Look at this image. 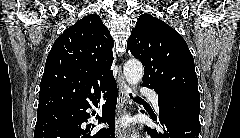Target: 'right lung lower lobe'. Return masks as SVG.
<instances>
[{
  "mask_svg": "<svg viewBox=\"0 0 240 138\" xmlns=\"http://www.w3.org/2000/svg\"><path fill=\"white\" fill-rule=\"evenodd\" d=\"M106 103L102 107V116H97L98 122H107L108 129L90 132V126L82 127L90 118L86 109L97 105L101 92L87 100L62 106L47 112L37 114L34 138H115L114 113L117 103V84L112 80L103 90ZM95 125H92L93 129Z\"/></svg>",
  "mask_w": 240,
  "mask_h": 138,
  "instance_id": "98d812e1",
  "label": "right lung lower lobe"
}]
</instances>
